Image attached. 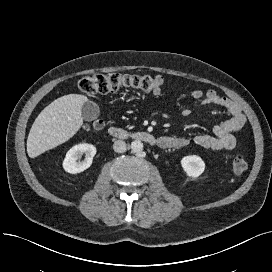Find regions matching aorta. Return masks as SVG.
Segmentation results:
<instances>
[{
    "label": "aorta",
    "mask_w": 272,
    "mask_h": 272,
    "mask_svg": "<svg viewBox=\"0 0 272 272\" xmlns=\"http://www.w3.org/2000/svg\"><path fill=\"white\" fill-rule=\"evenodd\" d=\"M131 150L133 153H141L143 150V143L140 140H134L131 142Z\"/></svg>",
    "instance_id": "obj_1"
}]
</instances>
